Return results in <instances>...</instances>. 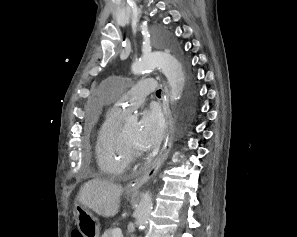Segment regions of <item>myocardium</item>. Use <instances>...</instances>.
Instances as JSON below:
<instances>
[{"instance_id":"f54148a6","label":"myocardium","mask_w":297,"mask_h":237,"mask_svg":"<svg viewBox=\"0 0 297 237\" xmlns=\"http://www.w3.org/2000/svg\"><path fill=\"white\" fill-rule=\"evenodd\" d=\"M119 137H120V140H121L122 144L124 145L125 149L131 156V158H139V157L143 156V151L141 149L133 146L131 143H129L127 141V139L123 136L121 131L119 133Z\"/></svg>"}]
</instances>
